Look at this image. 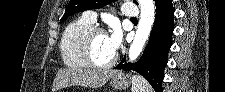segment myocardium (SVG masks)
Instances as JSON below:
<instances>
[{"mask_svg": "<svg viewBox=\"0 0 225 92\" xmlns=\"http://www.w3.org/2000/svg\"><path fill=\"white\" fill-rule=\"evenodd\" d=\"M98 33H106V30L103 27L96 25H92L88 28L80 37L79 52L88 67L94 69H108L117 62L118 56L115 54L114 57L105 64H99L93 59L91 54V45L94 36Z\"/></svg>", "mask_w": 225, "mask_h": 92, "instance_id": "myocardium-1", "label": "myocardium"}]
</instances>
